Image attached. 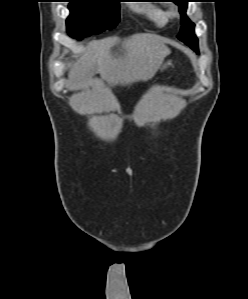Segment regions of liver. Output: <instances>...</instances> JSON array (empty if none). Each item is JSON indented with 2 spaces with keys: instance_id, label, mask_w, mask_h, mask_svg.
<instances>
[{
  "instance_id": "liver-1",
  "label": "liver",
  "mask_w": 248,
  "mask_h": 299,
  "mask_svg": "<svg viewBox=\"0 0 248 299\" xmlns=\"http://www.w3.org/2000/svg\"><path fill=\"white\" fill-rule=\"evenodd\" d=\"M119 44L118 52H112ZM169 54L165 39L156 34H134L122 41L117 37L93 41L69 70L68 86L70 90L81 89L96 72L114 86L148 81Z\"/></svg>"
}]
</instances>
